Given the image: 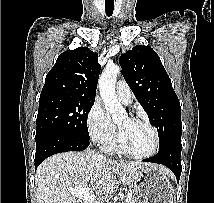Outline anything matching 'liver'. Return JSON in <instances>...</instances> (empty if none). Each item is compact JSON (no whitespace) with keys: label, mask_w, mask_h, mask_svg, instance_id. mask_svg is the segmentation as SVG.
Wrapping results in <instances>:
<instances>
[{"label":"liver","mask_w":214,"mask_h":203,"mask_svg":"<svg viewBox=\"0 0 214 203\" xmlns=\"http://www.w3.org/2000/svg\"><path fill=\"white\" fill-rule=\"evenodd\" d=\"M145 165L150 164L117 162L90 150L55 154L37 168V203H82L71 194L73 188L92 189L98 198L108 196L119 184L133 183L135 173Z\"/></svg>","instance_id":"1"}]
</instances>
